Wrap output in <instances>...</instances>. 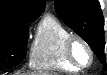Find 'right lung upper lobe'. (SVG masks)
<instances>
[{
    "mask_svg": "<svg viewBox=\"0 0 107 75\" xmlns=\"http://www.w3.org/2000/svg\"><path fill=\"white\" fill-rule=\"evenodd\" d=\"M45 5V0H0V30L9 24L35 21Z\"/></svg>",
    "mask_w": 107,
    "mask_h": 75,
    "instance_id": "cb5924a9",
    "label": "right lung upper lobe"
}]
</instances>
